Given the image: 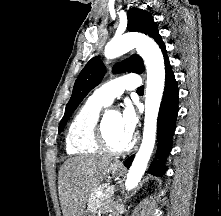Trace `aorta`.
Here are the masks:
<instances>
[{"label": "aorta", "mask_w": 221, "mask_h": 216, "mask_svg": "<svg viewBox=\"0 0 221 216\" xmlns=\"http://www.w3.org/2000/svg\"><path fill=\"white\" fill-rule=\"evenodd\" d=\"M134 48L146 65L147 86L143 139L127 175L125 186L128 191L135 188L140 182L152 154L156 140L157 118L165 85L163 55L151 38L138 33L116 36L107 43L104 54L107 59H114Z\"/></svg>", "instance_id": "obj_1"}]
</instances>
